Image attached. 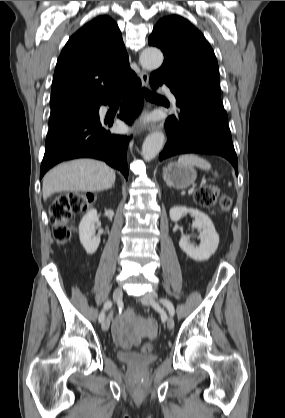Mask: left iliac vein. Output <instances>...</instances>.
I'll return each mask as SVG.
<instances>
[{
	"instance_id": "4c4485c4",
	"label": "left iliac vein",
	"mask_w": 285,
	"mask_h": 418,
	"mask_svg": "<svg viewBox=\"0 0 285 418\" xmlns=\"http://www.w3.org/2000/svg\"><path fill=\"white\" fill-rule=\"evenodd\" d=\"M156 299H157V294L155 292H150L141 298V302L144 305H151L153 307H156L158 306ZM166 324H167L168 329L174 328L175 323L171 316L168 317Z\"/></svg>"
}]
</instances>
